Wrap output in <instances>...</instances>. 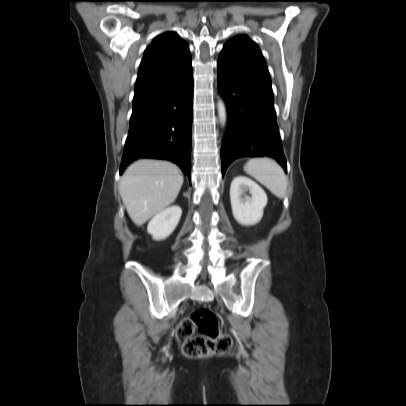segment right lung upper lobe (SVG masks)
Wrapping results in <instances>:
<instances>
[{"instance_id": "cb5924a9", "label": "right lung upper lobe", "mask_w": 406, "mask_h": 406, "mask_svg": "<svg viewBox=\"0 0 406 406\" xmlns=\"http://www.w3.org/2000/svg\"><path fill=\"white\" fill-rule=\"evenodd\" d=\"M191 68L192 58L188 45L175 32L155 37L144 52L134 99L170 84Z\"/></svg>"}]
</instances>
